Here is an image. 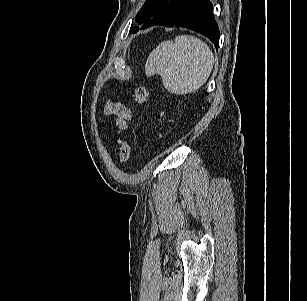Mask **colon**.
<instances>
[{"label": "colon", "mask_w": 307, "mask_h": 301, "mask_svg": "<svg viewBox=\"0 0 307 301\" xmlns=\"http://www.w3.org/2000/svg\"><path fill=\"white\" fill-rule=\"evenodd\" d=\"M132 97L136 104L140 106H145L150 100V92L148 88L143 85H140L135 88L132 93ZM119 144V159L121 162L128 160L131 154V138L128 136H122L118 138Z\"/></svg>", "instance_id": "5ec220e1"}]
</instances>
